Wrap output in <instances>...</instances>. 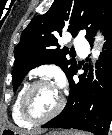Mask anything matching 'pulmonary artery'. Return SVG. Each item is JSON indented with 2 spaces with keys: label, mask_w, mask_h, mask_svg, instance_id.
Listing matches in <instances>:
<instances>
[{
  "label": "pulmonary artery",
  "mask_w": 112,
  "mask_h": 135,
  "mask_svg": "<svg viewBox=\"0 0 112 135\" xmlns=\"http://www.w3.org/2000/svg\"><path fill=\"white\" fill-rule=\"evenodd\" d=\"M74 47L81 56H86L89 52V44L84 38H76L74 40Z\"/></svg>",
  "instance_id": "e3ab8cb5"
}]
</instances>
